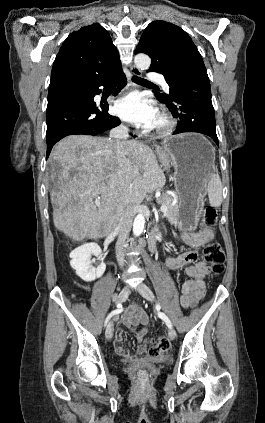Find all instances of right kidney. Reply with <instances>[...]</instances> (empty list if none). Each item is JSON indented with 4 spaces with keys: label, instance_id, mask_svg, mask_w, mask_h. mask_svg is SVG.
Listing matches in <instances>:
<instances>
[{
    "label": "right kidney",
    "instance_id": "obj_1",
    "mask_svg": "<svg viewBox=\"0 0 265 423\" xmlns=\"http://www.w3.org/2000/svg\"><path fill=\"white\" fill-rule=\"evenodd\" d=\"M101 248L97 243H87L74 249L70 253L71 267L76 274L84 281L91 282L101 277L106 269L105 263H101L97 268L93 267L90 261L92 255L100 256Z\"/></svg>",
    "mask_w": 265,
    "mask_h": 423
}]
</instances>
